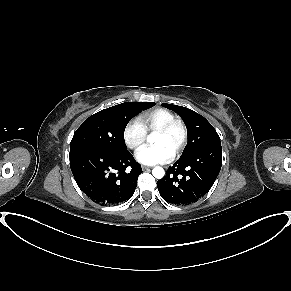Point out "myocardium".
I'll use <instances>...</instances> for the list:
<instances>
[{
    "label": "myocardium",
    "mask_w": 291,
    "mask_h": 291,
    "mask_svg": "<svg viewBox=\"0 0 291 291\" xmlns=\"http://www.w3.org/2000/svg\"><path fill=\"white\" fill-rule=\"evenodd\" d=\"M174 130H179L180 132V139L177 142L173 155L176 156L180 154V152L184 149L187 140H188V129L186 124L180 120V119H174L166 124H164L162 127L157 129L155 133L163 134V135H169L171 134ZM173 156V157H174Z\"/></svg>",
    "instance_id": "obj_1"
}]
</instances>
